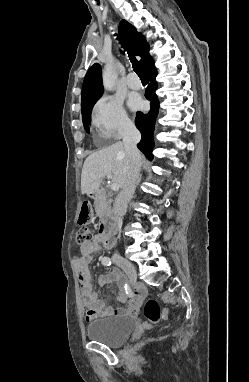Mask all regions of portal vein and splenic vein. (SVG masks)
Segmentation results:
<instances>
[{
  "mask_svg": "<svg viewBox=\"0 0 249 382\" xmlns=\"http://www.w3.org/2000/svg\"><path fill=\"white\" fill-rule=\"evenodd\" d=\"M110 188H111V190H113V191H118L120 187H119L118 183L113 182V183L110 185Z\"/></svg>",
  "mask_w": 249,
  "mask_h": 382,
  "instance_id": "portal-vein-and-splenic-vein-1",
  "label": "portal vein and splenic vein"
}]
</instances>
